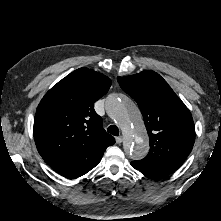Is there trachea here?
Instances as JSON below:
<instances>
[{
  "label": "trachea",
  "mask_w": 221,
  "mask_h": 221,
  "mask_svg": "<svg viewBox=\"0 0 221 221\" xmlns=\"http://www.w3.org/2000/svg\"><path fill=\"white\" fill-rule=\"evenodd\" d=\"M107 131L114 135V136H118L119 135V129L116 125H110L108 128H107Z\"/></svg>",
  "instance_id": "trachea-1"
}]
</instances>
